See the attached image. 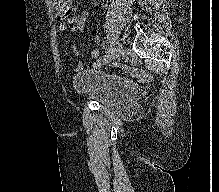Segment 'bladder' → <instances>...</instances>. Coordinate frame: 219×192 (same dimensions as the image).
<instances>
[{"instance_id": "bladder-1", "label": "bladder", "mask_w": 219, "mask_h": 192, "mask_svg": "<svg viewBox=\"0 0 219 192\" xmlns=\"http://www.w3.org/2000/svg\"><path fill=\"white\" fill-rule=\"evenodd\" d=\"M75 94L80 100H91L105 110L120 116L135 113L139 95L130 79L117 74H101L96 68H85L75 77Z\"/></svg>"}]
</instances>
